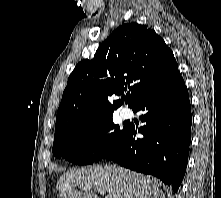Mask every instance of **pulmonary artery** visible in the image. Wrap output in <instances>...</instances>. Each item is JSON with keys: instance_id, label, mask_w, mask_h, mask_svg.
<instances>
[{"instance_id": "obj_1", "label": "pulmonary artery", "mask_w": 221, "mask_h": 198, "mask_svg": "<svg viewBox=\"0 0 221 198\" xmlns=\"http://www.w3.org/2000/svg\"><path fill=\"white\" fill-rule=\"evenodd\" d=\"M132 111L128 107H123L120 111V115L123 119H128L132 116Z\"/></svg>"}]
</instances>
